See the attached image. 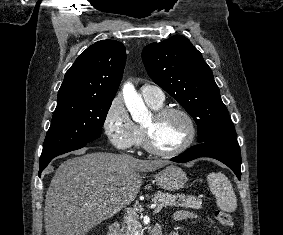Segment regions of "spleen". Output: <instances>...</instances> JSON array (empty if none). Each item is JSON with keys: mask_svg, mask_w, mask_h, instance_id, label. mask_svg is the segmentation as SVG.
Instances as JSON below:
<instances>
[{"mask_svg": "<svg viewBox=\"0 0 283 235\" xmlns=\"http://www.w3.org/2000/svg\"><path fill=\"white\" fill-rule=\"evenodd\" d=\"M210 191L216 197L217 206L225 212H234L237 198L229 179L221 172H212L207 176Z\"/></svg>", "mask_w": 283, "mask_h": 235, "instance_id": "spleen-1", "label": "spleen"}]
</instances>
